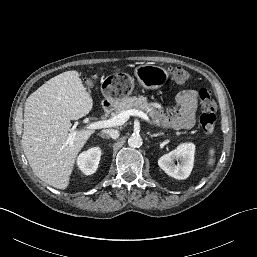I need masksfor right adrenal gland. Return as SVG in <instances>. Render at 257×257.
<instances>
[{"label":"right adrenal gland","mask_w":257,"mask_h":257,"mask_svg":"<svg viewBox=\"0 0 257 257\" xmlns=\"http://www.w3.org/2000/svg\"><path fill=\"white\" fill-rule=\"evenodd\" d=\"M99 136L102 137V138H104V139H105V138H108V136H106V135H104V134H99Z\"/></svg>","instance_id":"right-adrenal-gland-1"}]
</instances>
